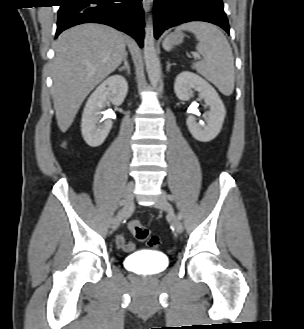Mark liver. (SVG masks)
I'll return each instance as SVG.
<instances>
[{"instance_id": "obj_1", "label": "liver", "mask_w": 304, "mask_h": 329, "mask_svg": "<svg viewBox=\"0 0 304 329\" xmlns=\"http://www.w3.org/2000/svg\"><path fill=\"white\" fill-rule=\"evenodd\" d=\"M127 37L106 25L87 23L58 37L52 63V97L59 129L66 132L87 95L127 55Z\"/></svg>"}]
</instances>
